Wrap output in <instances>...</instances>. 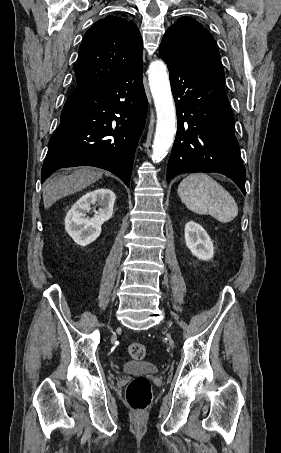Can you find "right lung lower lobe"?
I'll return each instance as SVG.
<instances>
[{
	"label": "right lung lower lobe",
	"instance_id": "obj_1",
	"mask_svg": "<svg viewBox=\"0 0 281 453\" xmlns=\"http://www.w3.org/2000/svg\"><path fill=\"white\" fill-rule=\"evenodd\" d=\"M147 106L142 61L115 81L78 84L50 138L41 182L60 168L95 166L116 174L129 186Z\"/></svg>",
	"mask_w": 281,
	"mask_h": 453
}]
</instances>
